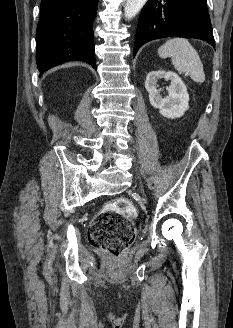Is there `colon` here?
Returning <instances> with one entry per match:
<instances>
[{
	"label": "colon",
	"mask_w": 233,
	"mask_h": 328,
	"mask_svg": "<svg viewBox=\"0 0 233 328\" xmlns=\"http://www.w3.org/2000/svg\"><path fill=\"white\" fill-rule=\"evenodd\" d=\"M136 213V207L126 198L106 204L90 223V244L113 257H121L134 240L132 218Z\"/></svg>",
	"instance_id": "1"
}]
</instances>
